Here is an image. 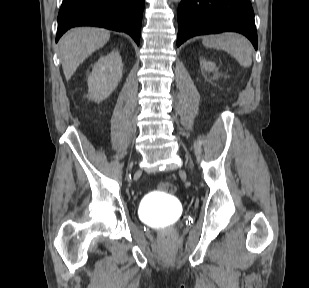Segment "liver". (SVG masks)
I'll return each mask as SVG.
<instances>
[{
	"instance_id": "liver-1",
	"label": "liver",
	"mask_w": 309,
	"mask_h": 288,
	"mask_svg": "<svg viewBox=\"0 0 309 288\" xmlns=\"http://www.w3.org/2000/svg\"><path fill=\"white\" fill-rule=\"evenodd\" d=\"M109 38L108 30L95 27L74 28L65 33L59 41V47L66 80H70L78 66L104 46Z\"/></svg>"
}]
</instances>
